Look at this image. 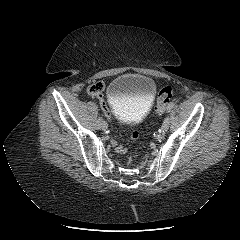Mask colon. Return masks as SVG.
<instances>
[{
  "mask_svg": "<svg viewBox=\"0 0 240 240\" xmlns=\"http://www.w3.org/2000/svg\"><path fill=\"white\" fill-rule=\"evenodd\" d=\"M103 91V84L100 82L93 83L88 87V93L92 96H96L99 92ZM173 94V89L170 86L162 88L157 97L156 112L158 115H162L166 109L168 102Z\"/></svg>",
  "mask_w": 240,
  "mask_h": 240,
  "instance_id": "5ec220e1",
  "label": "colon"
}]
</instances>
